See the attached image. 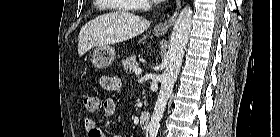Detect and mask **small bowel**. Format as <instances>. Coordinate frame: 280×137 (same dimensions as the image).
<instances>
[{"mask_svg":"<svg viewBox=\"0 0 280 137\" xmlns=\"http://www.w3.org/2000/svg\"><path fill=\"white\" fill-rule=\"evenodd\" d=\"M100 85L106 90H119L122 87V82L117 76H102ZM116 109V103L112 98H107L102 104L103 117L111 116ZM84 126L88 137H106L104 131L97 125L92 118L84 120Z\"/></svg>","mask_w":280,"mask_h":137,"instance_id":"obj_1","label":"small bowel"}]
</instances>
